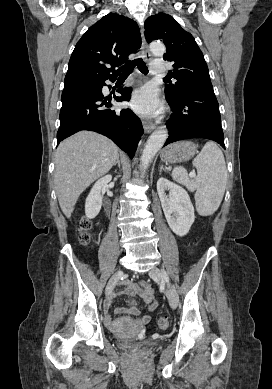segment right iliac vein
<instances>
[{
  "label": "right iliac vein",
  "instance_id": "63e3f726",
  "mask_svg": "<svg viewBox=\"0 0 272 389\" xmlns=\"http://www.w3.org/2000/svg\"><path fill=\"white\" fill-rule=\"evenodd\" d=\"M123 276V271L122 270H118L117 272H115V274L111 277V279L109 280L108 284H107V287H106V295H109L112 290L114 289L117 281Z\"/></svg>",
  "mask_w": 272,
  "mask_h": 389
}]
</instances>
